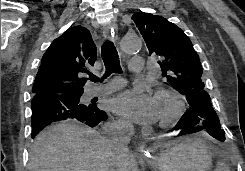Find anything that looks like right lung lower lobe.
Instances as JSON below:
<instances>
[{
  "mask_svg": "<svg viewBox=\"0 0 245 171\" xmlns=\"http://www.w3.org/2000/svg\"><path fill=\"white\" fill-rule=\"evenodd\" d=\"M83 92H66L61 94H38L32 99V138L52 122L76 119L95 127L107 120V114L96 105L80 104Z\"/></svg>",
  "mask_w": 245,
  "mask_h": 171,
  "instance_id": "1",
  "label": "right lung lower lobe"
}]
</instances>
